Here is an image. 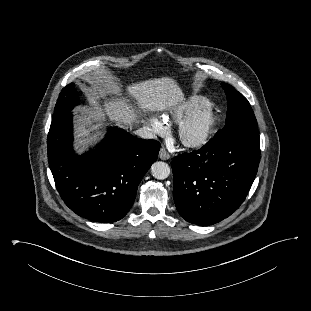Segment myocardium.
Masks as SVG:
<instances>
[{"instance_id": "obj_1", "label": "myocardium", "mask_w": 311, "mask_h": 311, "mask_svg": "<svg viewBox=\"0 0 311 311\" xmlns=\"http://www.w3.org/2000/svg\"><path fill=\"white\" fill-rule=\"evenodd\" d=\"M216 122L214 108L209 105L183 119L178 127V136L182 144L188 148H200L211 137ZM199 128L197 135H190L193 128Z\"/></svg>"}]
</instances>
